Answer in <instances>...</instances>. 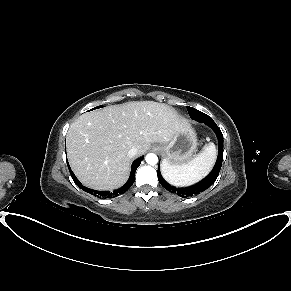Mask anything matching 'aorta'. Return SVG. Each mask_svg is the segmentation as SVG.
<instances>
[{
    "label": "aorta",
    "mask_w": 291,
    "mask_h": 291,
    "mask_svg": "<svg viewBox=\"0 0 291 291\" xmlns=\"http://www.w3.org/2000/svg\"><path fill=\"white\" fill-rule=\"evenodd\" d=\"M145 160L150 165H155L158 162V157L154 153H149L146 155Z\"/></svg>",
    "instance_id": "obj_1"
}]
</instances>
